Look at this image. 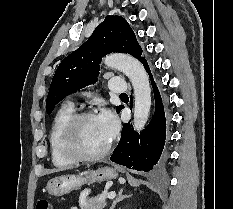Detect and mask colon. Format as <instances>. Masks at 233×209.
I'll list each match as a JSON object with an SVG mask.
<instances>
[{
  "mask_svg": "<svg viewBox=\"0 0 233 209\" xmlns=\"http://www.w3.org/2000/svg\"><path fill=\"white\" fill-rule=\"evenodd\" d=\"M36 209H52V205L48 199H40L36 204Z\"/></svg>",
  "mask_w": 233,
  "mask_h": 209,
  "instance_id": "5ec220e1",
  "label": "colon"
}]
</instances>
